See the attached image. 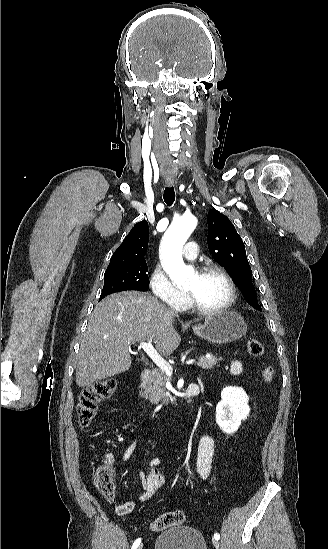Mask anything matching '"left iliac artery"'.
<instances>
[{
  "mask_svg": "<svg viewBox=\"0 0 328 549\" xmlns=\"http://www.w3.org/2000/svg\"><path fill=\"white\" fill-rule=\"evenodd\" d=\"M214 538L217 539V540H219V539H220V535H219L218 533H215V534H214Z\"/></svg>",
  "mask_w": 328,
  "mask_h": 549,
  "instance_id": "44dca946",
  "label": "left iliac artery"
}]
</instances>
